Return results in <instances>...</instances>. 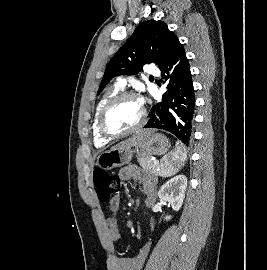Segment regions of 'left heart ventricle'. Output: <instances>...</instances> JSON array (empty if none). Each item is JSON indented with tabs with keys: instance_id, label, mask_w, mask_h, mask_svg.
I'll return each mask as SVG.
<instances>
[{
	"instance_id": "obj_1",
	"label": "left heart ventricle",
	"mask_w": 267,
	"mask_h": 270,
	"mask_svg": "<svg viewBox=\"0 0 267 270\" xmlns=\"http://www.w3.org/2000/svg\"><path fill=\"white\" fill-rule=\"evenodd\" d=\"M142 108L138 101L124 100L118 103L108 114L106 124L113 133H119L134 127L140 120Z\"/></svg>"
}]
</instances>
